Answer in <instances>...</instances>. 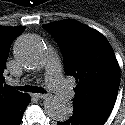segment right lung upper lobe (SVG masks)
Masks as SVG:
<instances>
[{
  "label": "right lung upper lobe",
  "instance_id": "1",
  "mask_svg": "<svg viewBox=\"0 0 125 125\" xmlns=\"http://www.w3.org/2000/svg\"><path fill=\"white\" fill-rule=\"evenodd\" d=\"M25 30V26H0V107L14 100L22 93L5 84L3 72L13 40Z\"/></svg>",
  "mask_w": 125,
  "mask_h": 125
}]
</instances>
